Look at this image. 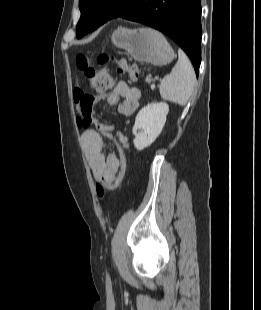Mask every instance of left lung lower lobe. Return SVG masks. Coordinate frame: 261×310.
<instances>
[{"instance_id":"1","label":"left lung lower lobe","mask_w":261,"mask_h":310,"mask_svg":"<svg viewBox=\"0 0 261 310\" xmlns=\"http://www.w3.org/2000/svg\"><path fill=\"white\" fill-rule=\"evenodd\" d=\"M124 19L153 27L174 40L189 56L198 77L201 62L200 0H133ZM100 25L90 27L92 32Z\"/></svg>"}]
</instances>
